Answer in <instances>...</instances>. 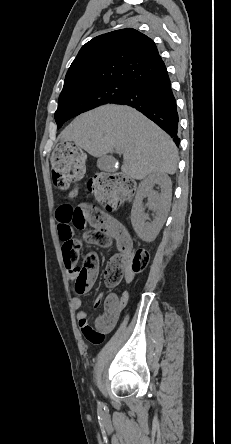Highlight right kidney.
<instances>
[{
    "label": "right kidney",
    "mask_w": 231,
    "mask_h": 444,
    "mask_svg": "<svg viewBox=\"0 0 231 444\" xmlns=\"http://www.w3.org/2000/svg\"><path fill=\"white\" fill-rule=\"evenodd\" d=\"M159 185L161 193L153 190L154 185ZM148 198V208L155 212V218L151 222L143 207V199ZM172 197V183L166 173H154L144 179L138 187L131 210V223L137 235L146 242L153 241L165 223Z\"/></svg>",
    "instance_id": "ca27d5eb"
}]
</instances>
